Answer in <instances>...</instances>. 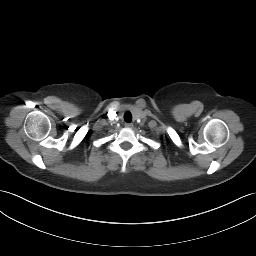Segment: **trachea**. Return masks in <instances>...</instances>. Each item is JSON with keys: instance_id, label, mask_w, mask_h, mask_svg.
<instances>
[{"instance_id": "trachea-1", "label": "trachea", "mask_w": 256, "mask_h": 256, "mask_svg": "<svg viewBox=\"0 0 256 256\" xmlns=\"http://www.w3.org/2000/svg\"><path fill=\"white\" fill-rule=\"evenodd\" d=\"M124 120H125L127 123H130V122L132 121V114H131L129 111L125 112V114H124Z\"/></svg>"}]
</instances>
